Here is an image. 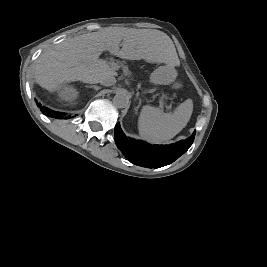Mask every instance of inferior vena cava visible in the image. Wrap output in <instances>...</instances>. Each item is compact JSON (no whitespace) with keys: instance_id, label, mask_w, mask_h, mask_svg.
<instances>
[{"instance_id":"inferior-vena-cava-1","label":"inferior vena cava","mask_w":267,"mask_h":267,"mask_svg":"<svg viewBox=\"0 0 267 267\" xmlns=\"http://www.w3.org/2000/svg\"><path fill=\"white\" fill-rule=\"evenodd\" d=\"M97 83H100L104 86H112L116 83V79L115 77L111 76V75H105L103 77H101Z\"/></svg>"}]
</instances>
